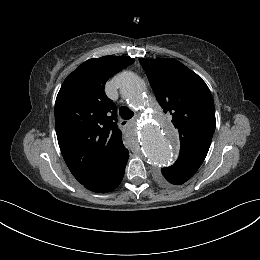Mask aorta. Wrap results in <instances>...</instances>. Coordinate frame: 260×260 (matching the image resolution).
Returning <instances> with one entry per match:
<instances>
[{"label": "aorta", "instance_id": "762f6f07", "mask_svg": "<svg viewBox=\"0 0 260 260\" xmlns=\"http://www.w3.org/2000/svg\"><path fill=\"white\" fill-rule=\"evenodd\" d=\"M120 92L131 107L137 111L144 108L146 102L144 83L136 74L126 72L121 76ZM143 120L137 135L145 158L155 167L169 166L174 160L178 144L176 131L169 123L160 122L146 115Z\"/></svg>", "mask_w": 260, "mask_h": 260}]
</instances>
